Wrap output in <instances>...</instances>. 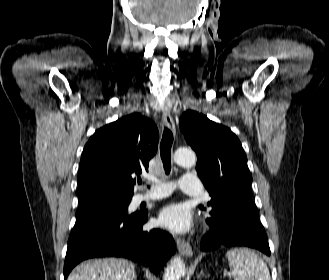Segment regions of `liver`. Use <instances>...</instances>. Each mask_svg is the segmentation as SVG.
Wrapping results in <instances>:
<instances>
[{"instance_id": "liver-1", "label": "liver", "mask_w": 329, "mask_h": 280, "mask_svg": "<svg viewBox=\"0 0 329 280\" xmlns=\"http://www.w3.org/2000/svg\"><path fill=\"white\" fill-rule=\"evenodd\" d=\"M135 265L125 259L89 260L77 266L67 280H133Z\"/></svg>"}]
</instances>
